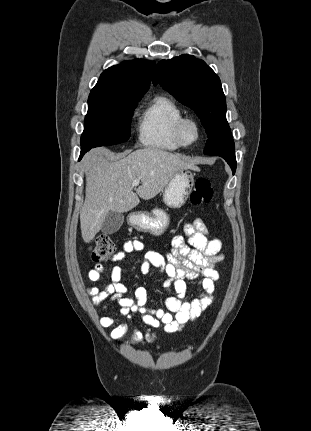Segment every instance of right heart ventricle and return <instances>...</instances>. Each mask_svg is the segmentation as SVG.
I'll return each instance as SVG.
<instances>
[{
	"label": "right heart ventricle",
	"instance_id": "e07e8e85",
	"mask_svg": "<svg viewBox=\"0 0 311 431\" xmlns=\"http://www.w3.org/2000/svg\"><path fill=\"white\" fill-rule=\"evenodd\" d=\"M186 115L172 97H155L140 113L137 123L139 143L149 149L174 152L183 146L176 136V125Z\"/></svg>",
	"mask_w": 311,
	"mask_h": 431
}]
</instances>
